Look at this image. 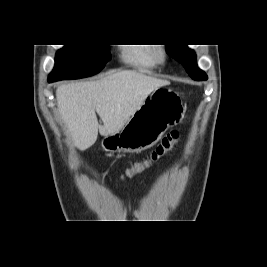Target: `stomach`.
Wrapping results in <instances>:
<instances>
[{
  "label": "stomach",
  "instance_id": "1",
  "mask_svg": "<svg viewBox=\"0 0 267 267\" xmlns=\"http://www.w3.org/2000/svg\"><path fill=\"white\" fill-rule=\"evenodd\" d=\"M184 115L180 98L164 88L151 92L116 133L105 136L102 147L110 153H134L155 145Z\"/></svg>",
  "mask_w": 267,
  "mask_h": 267
}]
</instances>
